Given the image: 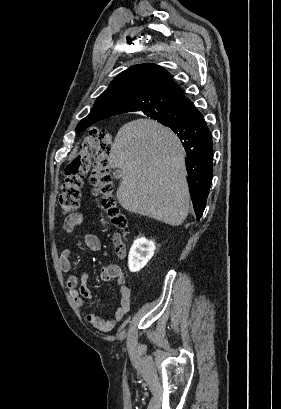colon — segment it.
I'll return each instance as SVG.
<instances>
[{"instance_id": "5ec220e1", "label": "colon", "mask_w": 281, "mask_h": 409, "mask_svg": "<svg viewBox=\"0 0 281 409\" xmlns=\"http://www.w3.org/2000/svg\"><path fill=\"white\" fill-rule=\"evenodd\" d=\"M113 149L111 133L103 129H92L80 149L66 164L59 195L61 212L73 215L80 205V189L83 176L91 163L93 165L92 185L98 197V206L105 212L115 228H124L127 219L120 213L116 199L111 195L113 179L108 157Z\"/></svg>"}]
</instances>
